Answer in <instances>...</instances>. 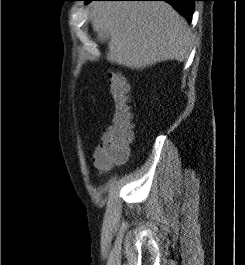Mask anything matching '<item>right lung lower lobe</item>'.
Wrapping results in <instances>:
<instances>
[{
  "label": "right lung lower lobe",
  "mask_w": 245,
  "mask_h": 265,
  "mask_svg": "<svg viewBox=\"0 0 245 265\" xmlns=\"http://www.w3.org/2000/svg\"><path fill=\"white\" fill-rule=\"evenodd\" d=\"M93 0H87L89 3ZM125 1H166L171 4L180 14H182L188 22H191L194 12V1L196 0H125Z\"/></svg>",
  "instance_id": "98d812e1"
}]
</instances>
